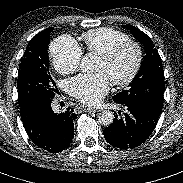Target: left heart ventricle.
<instances>
[{
	"label": "left heart ventricle",
	"instance_id": "obj_1",
	"mask_svg": "<svg viewBox=\"0 0 183 183\" xmlns=\"http://www.w3.org/2000/svg\"><path fill=\"white\" fill-rule=\"evenodd\" d=\"M135 58V50L132 47H126L109 62H106L99 57L96 65V71L104 72L111 82L123 79L132 70Z\"/></svg>",
	"mask_w": 183,
	"mask_h": 183
}]
</instances>
